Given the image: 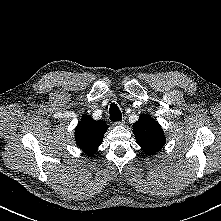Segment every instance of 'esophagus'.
I'll return each instance as SVG.
<instances>
[{"label": "esophagus", "instance_id": "esophagus-1", "mask_svg": "<svg viewBox=\"0 0 221 221\" xmlns=\"http://www.w3.org/2000/svg\"><path fill=\"white\" fill-rule=\"evenodd\" d=\"M124 124H125L124 120L116 121V122L113 123L114 126H123Z\"/></svg>", "mask_w": 221, "mask_h": 221}]
</instances>
